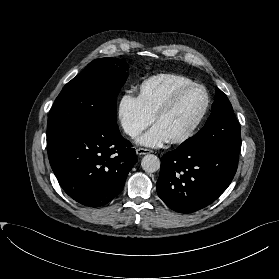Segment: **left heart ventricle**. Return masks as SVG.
<instances>
[{
  "mask_svg": "<svg viewBox=\"0 0 279 279\" xmlns=\"http://www.w3.org/2000/svg\"><path fill=\"white\" fill-rule=\"evenodd\" d=\"M205 103V93L199 88L189 90L180 98L173 110L158 122L168 138L182 135L196 120Z\"/></svg>",
  "mask_w": 279,
  "mask_h": 279,
  "instance_id": "left-heart-ventricle-1",
  "label": "left heart ventricle"
}]
</instances>
